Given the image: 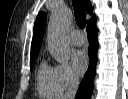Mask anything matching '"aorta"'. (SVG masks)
Returning a JSON list of instances; mask_svg holds the SVG:
<instances>
[{
    "mask_svg": "<svg viewBox=\"0 0 128 99\" xmlns=\"http://www.w3.org/2000/svg\"><path fill=\"white\" fill-rule=\"evenodd\" d=\"M70 19V11L67 8H57L52 12L48 25V45L55 60L61 64L67 63L71 55L66 37Z\"/></svg>",
    "mask_w": 128,
    "mask_h": 99,
    "instance_id": "762f6f07",
    "label": "aorta"
}]
</instances>
